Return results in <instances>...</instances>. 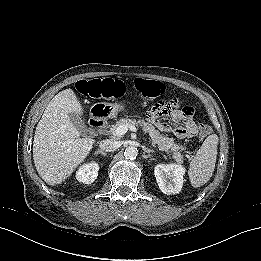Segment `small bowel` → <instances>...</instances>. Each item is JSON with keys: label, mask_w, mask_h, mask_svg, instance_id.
Returning a JSON list of instances; mask_svg holds the SVG:
<instances>
[{"label": "small bowel", "mask_w": 261, "mask_h": 261, "mask_svg": "<svg viewBox=\"0 0 261 261\" xmlns=\"http://www.w3.org/2000/svg\"><path fill=\"white\" fill-rule=\"evenodd\" d=\"M178 115V114H177ZM158 116L152 114L150 112V119L157 125V127L161 130H172V127L168 124V123H165V122H161L160 120H157ZM174 118L172 119V121L174 122ZM185 125L191 127V133L194 132L195 130V123L192 121V119H187L185 120ZM174 131V130H173ZM190 133V134H191Z\"/></svg>", "instance_id": "c3829d8e"}]
</instances>
